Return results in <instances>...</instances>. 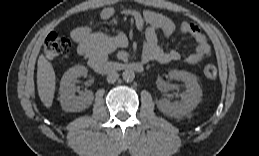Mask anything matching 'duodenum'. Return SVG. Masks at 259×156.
Wrapping results in <instances>:
<instances>
[{
    "mask_svg": "<svg viewBox=\"0 0 259 156\" xmlns=\"http://www.w3.org/2000/svg\"><path fill=\"white\" fill-rule=\"evenodd\" d=\"M89 65L100 74H109L118 71H133L141 73L144 69L140 62H106L103 60H89Z\"/></svg>",
    "mask_w": 259,
    "mask_h": 156,
    "instance_id": "duodenum-1",
    "label": "duodenum"
}]
</instances>
